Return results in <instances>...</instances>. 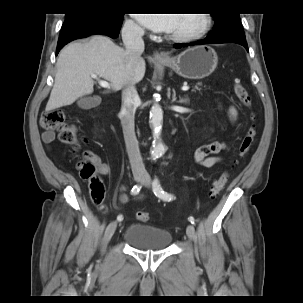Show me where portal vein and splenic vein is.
Here are the masks:
<instances>
[{
    "instance_id": "1",
    "label": "portal vein and splenic vein",
    "mask_w": 303,
    "mask_h": 303,
    "mask_svg": "<svg viewBox=\"0 0 303 303\" xmlns=\"http://www.w3.org/2000/svg\"><path fill=\"white\" fill-rule=\"evenodd\" d=\"M91 77L98 80L100 86H102L104 88H110V84L107 81L99 80L96 75H91ZM181 89L183 91H188L189 86H183Z\"/></svg>"
}]
</instances>
